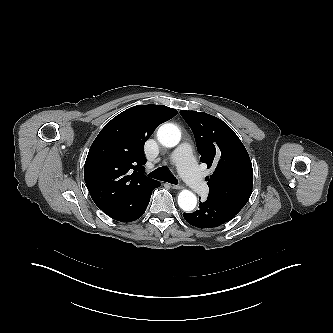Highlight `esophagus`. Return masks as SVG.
Wrapping results in <instances>:
<instances>
[{"label":"esophagus","mask_w":333,"mask_h":333,"mask_svg":"<svg viewBox=\"0 0 333 333\" xmlns=\"http://www.w3.org/2000/svg\"><path fill=\"white\" fill-rule=\"evenodd\" d=\"M170 187L173 189H182L183 188L181 185H176V184H170Z\"/></svg>","instance_id":"esophagus-1"}]
</instances>
